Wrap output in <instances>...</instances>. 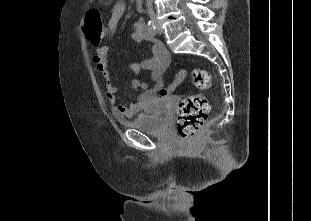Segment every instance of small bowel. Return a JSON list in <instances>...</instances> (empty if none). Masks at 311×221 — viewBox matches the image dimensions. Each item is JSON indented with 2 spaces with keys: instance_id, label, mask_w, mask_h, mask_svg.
Returning <instances> with one entry per match:
<instances>
[{
  "instance_id": "small-bowel-1",
  "label": "small bowel",
  "mask_w": 311,
  "mask_h": 221,
  "mask_svg": "<svg viewBox=\"0 0 311 221\" xmlns=\"http://www.w3.org/2000/svg\"><path fill=\"white\" fill-rule=\"evenodd\" d=\"M125 10L126 4L123 0L116 1L113 4L107 27L105 28V33L107 35H113L116 32ZM140 21L141 20H138L134 24L133 39L136 42H151L153 58L145 60L141 63L131 64L129 68L134 72H141L146 70L150 71V76L154 85L150 88L146 82L139 79H132L130 81L131 86L135 90L140 91V94L136 100L130 104L129 107H124L118 103V90L113 83L115 71L110 67L109 64V47L101 46L97 48L96 54L94 56V62L96 64L97 70L105 83L107 101L111 107L113 115L118 120L133 117L144 108L150 99L154 98L158 94V92L163 88V75L171 62V55L166 47L161 42L152 39L148 34L145 26L142 27L140 25Z\"/></svg>"
}]
</instances>
